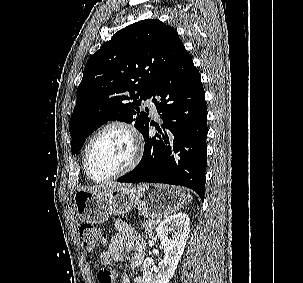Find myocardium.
Instances as JSON below:
<instances>
[{
    "label": "myocardium",
    "instance_id": "obj_1",
    "mask_svg": "<svg viewBox=\"0 0 303 283\" xmlns=\"http://www.w3.org/2000/svg\"><path fill=\"white\" fill-rule=\"evenodd\" d=\"M110 129H120L128 134V136L131 139L132 145H133V153H132V157H131L130 161L122 169H120L119 171L115 172L114 174H112L108 177L98 179V178L93 177L92 174L90 173L89 166H88L89 152H90V149H91L94 141L102 133H104L105 131L110 130ZM143 149H144L143 140H142L139 132L136 130V128L134 126H132L129 123L123 122V121H118V120L110 121V122L104 124L102 127H100L93 134V136L90 138L89 142L86 145V148L84 151V156H83V166H84L85 173L90 180L97 182V183H104V182H108V181L120 178V177L126 175L127 173L131 172L133 169H135L137 167V165L139 164V162L142 159Z\"/></svg>",
    "mask_w": 303,
    "mask_h": 283
}]
</instances>
